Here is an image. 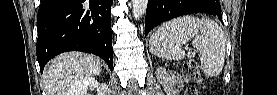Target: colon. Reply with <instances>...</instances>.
Segmentation results:
<instances>
[{
  "label": "colon",
  "mask_w": 277,
  "mask_h": 95,
  "mask_svg": "<svg viewBox=\"0 0 277 95\" xmlns=\"http://www.w3.org/2000/svg\"><path fill=\"white\" fill-rule=\"evenodd\" d=\"M183 75L188 82H192L200 73V66L196 61H190L183 66ZM185 95L197 94L196 89L193 86H189L185 90Z\"/></svg>",
  "instance_id": "colon-1"
}]
</instances>
